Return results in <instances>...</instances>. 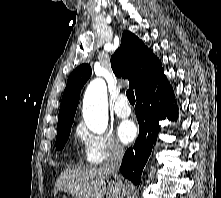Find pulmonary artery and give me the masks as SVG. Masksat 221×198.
I'll return each mask as SVG.
<instances>
[{"label":"pulmonary artery","instance_id":"1","mask_svg":"<svg viewBox=\"0 0 221 198\" xmlns=\"http://www.w3.org/2000/svg\"><path fill=\"white\" fill-rule=\"evenodd\" d=\"M114 111L118 117L125 118L130 116L131 107L125 95H120L115 103Z\"/></svg>","mask_w":221,"mask_h":198}]
</instances>
